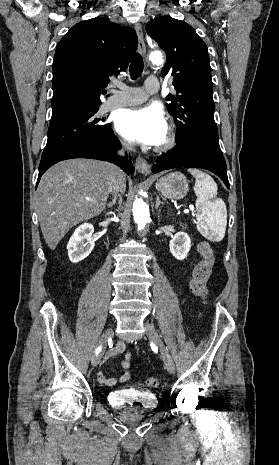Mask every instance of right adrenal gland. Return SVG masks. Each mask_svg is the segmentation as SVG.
I'll return each mask as SVG.
<instances>
[{
    "label": "right adrenal gland",
    "mask_w": 279,
    "mask_h": 465,
    "mask_svg": "<svg viewBox=\"0 0 279 465\" xmlns=\"http://www.w3.org/2000/svg\"><path fill=\"white\" fill-rule=\"evenodd\" d=\"M116 200H117V197L114 196L112 202H110V203L107 205V207H109V208L113 207V206L116 204Z\"/></svg>",
    "instance_id": "1"
}]
</instances>
